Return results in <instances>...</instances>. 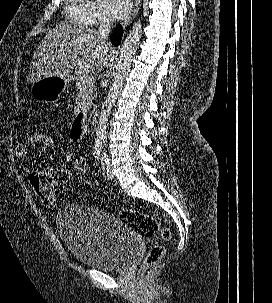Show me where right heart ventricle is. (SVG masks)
<instances>
[{"label": "right heart ventricle", "instance_id": "e07e8e85", "mask_svg": "<svg viewBox=\"0 0 272 303\" xmlns=\"http://www.w3.org/2000/svg\"><path fill=\"white\" fill-rule=\"evenodd\" d=\"M89 0H64V17L71 24L79 26L90 25Z\"/></svg>", "mask_w": 272, "mask_h": 303}]
</instances>
